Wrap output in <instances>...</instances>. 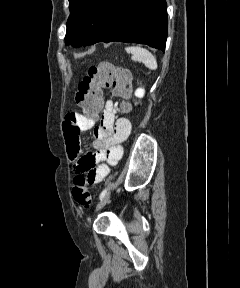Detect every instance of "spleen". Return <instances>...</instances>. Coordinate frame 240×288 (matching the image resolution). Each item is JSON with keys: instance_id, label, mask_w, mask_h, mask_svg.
<instances>
[{"instance_id": "3e777b00", "label": "spleen", "mask_w": 240, "mask_h": 288, "mask_svg": "<svg viewBox=\"0 0 240 288\" xmlns=\"http://www.w3.org/2000/svg\"><path fill=\"white\" fill-rule=\"evenodd\" d=\"M126 51L131 53L132 59L135 61H141L151 70L157 69V61L155 57L150 53L147 49L133 46V47H126Z\"/></svg>"}]
</instances>
